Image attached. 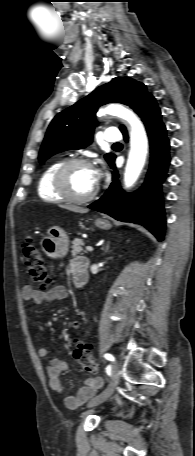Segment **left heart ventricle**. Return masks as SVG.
I'll use <instances>...</instances> for the list:
<instances>
[{
  "label": "left heart ventricle",
  "mask_w": 195,
  "mask_h": 456,
  "mask_svg": "<svg viewBox=\"0 0 195 456\" xmlns=\"http://www.w3.org/2000/svg\"><path fill=\"white\" fill-rule=\"evenodd\" d=\"M67 180L70 191L77 196L88 195L96 186L93 169L88 166L71 168Z\"/></svg>",
  "instance_id": "left-heart-ventricle-1"
}]
</instances>
